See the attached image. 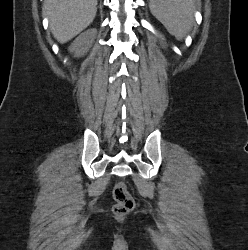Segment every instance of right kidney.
<instances>
[{
  "mask_svg": "<svg viewBox=\"0 0 248 250\" xmlns=\"http://www.w3.org/2000/svg\"><path fill=\"white\" fill-rule=\"evenodd\" d=\"M95 37V31H87L79 35L69 47L75 57H81L88 52Z\"/></svg>",
  "mask_w": 248,
  "mask_h": 250,
  "instance_id": "1",
  "label": "right kidney"
}]
</instances>
